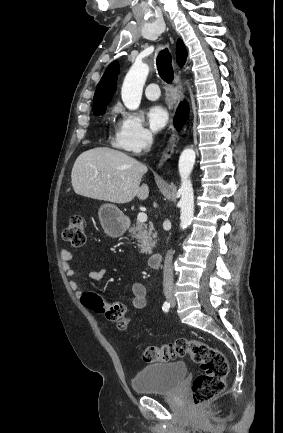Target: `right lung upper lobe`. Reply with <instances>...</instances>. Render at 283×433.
<instances>
[{"mask_svg": "<svg viewBox=\"0 0 283 433\" xmlns=\"http://www.w3.org/2000/svg\"><path fill=\"white\" fill-rule=\"evenodd\" d=\"M186 58L187 50L182 40L179 39L176 47V59L180 67L185 64ZM118 66V61L112 62L97 85L93 101V111L106 107L109 104L117 86Z\"/></svg>", "mask_w": 283, "mask_h": 433, "instance_id": "obj_1", "label": "right lung upper lobe"}]
</instances>
